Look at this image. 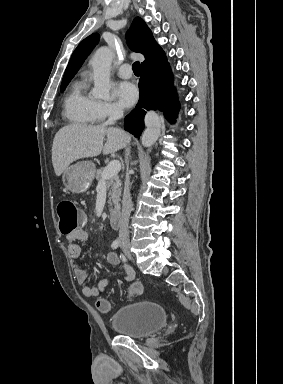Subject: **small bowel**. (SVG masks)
Listing matches in <instances>:
<instances>
[{
	"label": "small bowel",
	"instance_id": "small-bowel-1",
	"mask_svg": "<svg viewBox=\"0 0 283 384\" xmlns=\"http://www.w3.org/2000/svg\"><path fill=\"white\" fill-rule=\"evenodd\" d=\"M87 240H88V233L85 231L83 227H80L74 232L67 234V241H68L67 250H68L69 256L75 263V266H74L75 278L78 284L83 285V288H82L83 295L87 298H96L105 290V288L109 284V281L108 279H101L95 286L86 285V282L88 280V272L79 264V259L81 256V246L77 242H86ZM107 261L111 265L121 264L119 257L114 252L108 253ZM123 268L125 271L126 280L132 281L135 275L133 268L127 264H123ZM133 284H138L142 288V285L140 283L135 282Z\"/></svg>",
	"mask_w": 283,
	"mask_h": 384
}]
</instances>
